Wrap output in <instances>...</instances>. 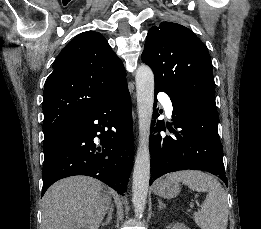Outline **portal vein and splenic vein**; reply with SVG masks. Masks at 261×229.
I'll return each mask as SVG.
<instances>
[{
    "label": "portal vein and splenic vein",
    "mask_w": 261,
    "mask_h": 229,
    "mask_svg": "<svg viewBox=\"0 0 261 229\" xmlns=\"http://www.w3.org/2000/svg\"><path fill=\"white\" fill-rule=\"evenodd\" d=\"M190 207H194L193 203H190ZM197 207H200V204H197Z\"/></svg>",
    "instance_id": "portal-vein-and-splenic-vein-1"
}]
</instances>
